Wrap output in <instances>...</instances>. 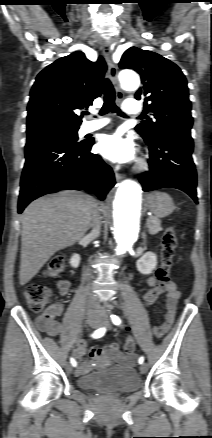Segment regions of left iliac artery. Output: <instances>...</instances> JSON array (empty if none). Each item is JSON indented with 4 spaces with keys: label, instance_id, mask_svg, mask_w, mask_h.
I'll use <instances>...</instances> for the list:
<instances>
[{
    "label": "left iliac artery",
    "instance_id": "left-iliac-artery-1",
    "mask_svg": "<svg viewBox=\"0 0 212 438\" xmlns=\"http://www.w3.org/2000/svg\"><path fill=\"white\" fill-rule=\"evenodd\" d=\"M111 320H112L113 324H115V325H120L121 324V319L118 316H116V315H111ZM138 362H139V364H142L144 362V357L141 356L139 358Z\"/></svg>",
    "mask_w": 212,
    "mask_h": 438
}]
</instances>
